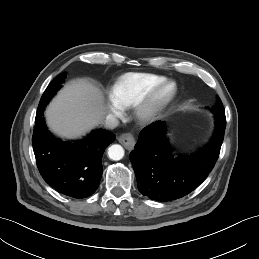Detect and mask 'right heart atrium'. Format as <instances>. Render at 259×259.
Returning <instances> with one entry per match:
<instances>
[{"label":"right heart atrium","mask_w":259,"mask_h":259,"mask_svg":"<svg viewBox=\"0 0 259 259\" xmlns=\"http://www.w3.org/2000/svg\"><path fill=\"white\" fill-rule=\"evenodd\" d=\"M111 114L113 116H118L121 114V110L119 107H117L116 105H114L112 108H111Z\"/></svg>","instance_id":"obj_1"}]
</instances>
